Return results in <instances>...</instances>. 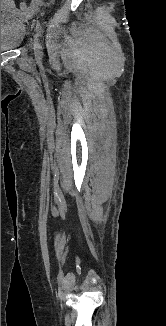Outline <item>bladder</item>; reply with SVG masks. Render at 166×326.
<instances>
[{
  "mask_svg": "<svg viewBox=\"0 0 166 326\" xmlns=\"http://www.w3.org/2000/svg\"><path fill=\"white\" fill-rule=\"evenodd\" d=\"M25 22L18 16L1 11V52L17 48L25 37Z\"/></svg>",
  "mask_w": 166,
  "mask_h": 326,
  "instance_id": "31cf9c89",
  "label": "bladder"
}]
</instances>
